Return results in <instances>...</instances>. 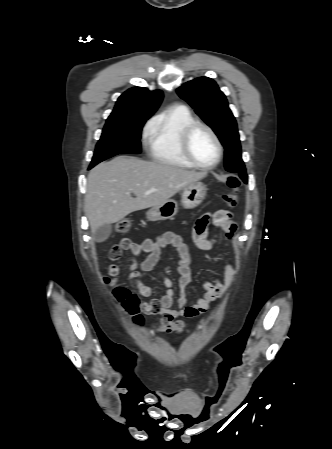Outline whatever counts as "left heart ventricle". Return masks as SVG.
<instances>
[{
    "label": "left heart ventricle",
    "instance_id": "left-heart-ventricle-1",
    "mask_svg": "<svg viewBox=\"0 0 332 449\" xmlns=\"http://www.w3.org/2000/svg\"><path fill=\"white\" fill-rule=\"evenodd\" d=\"M194 158L203 165L213 163L217 157V147L210 134L203 128L194 131L190 139Z\"/></svg>",
    "mask_w": 332,
    "mask_h": 449
}]
</instances>
